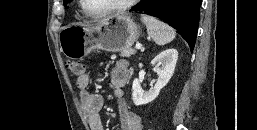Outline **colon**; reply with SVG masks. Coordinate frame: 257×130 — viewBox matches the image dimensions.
<instances>
[{
	"label": "colon",
	"mask_w": 257,
	"mask_h": 130,
	"mask_svg": "<svg viewBox=\"0 0 257 130\" xmlns=\"http://www.w3.org/2000/svg\"><path fill=\"white\" fill-rule=\"evenodd\" d=\"M67 68L78 77L85 74L86 72L85 65L76 60H69L67 62Z\"/></svg>",
	"instance_id": "1"
}]
</instances>
